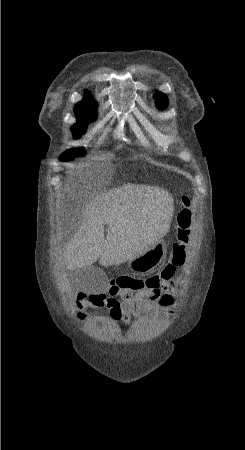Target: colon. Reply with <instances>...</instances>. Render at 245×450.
<instances>
[{
  "instance_id": "colon-1",
  "label": "colon",
  "mask_w": 245,
  "mask_h": 450,
  "mask_svg": "<svg viewBox=\"0 0 245 450\" xmlns=\"http://www.w3.org/2000/svg\"><path fill=\"white\" fill-rule=\"evenodd\" d=\"M182 209L176 216V242L172 245L167 268L169 273L174 268L184 264L187 250L190 246L191 233L193 226V216L191 211V200L188 197L182 198ZM113 284L129 292H136L145 286V278L139 276L119 277ZM79 294L77 299H82Z\"/></svg>"
}]
</instances>
